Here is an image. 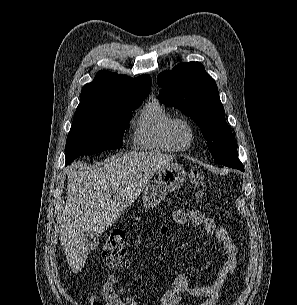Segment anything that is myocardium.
<instances>
[{
    "label": "myocardium",
    "instance_id": "f54148a6",
    "mask_svg": "<svg viewBox=\"0 0 297 305\" xmlns=\"http://www.w3.org/2000/svg\"><path fill=\"white\" fill-rule=\"evenodd\" d=\"M180 125L184 126L188 132L187 138L184 141L179 138L177 133V129ZM168 132L173 144L178 150L189 149L195 139L194 125L190 120L184 117H175L169 124Z\"/></svg>",
    "mask_w": 297,
    "mask_h": 305
}]
</instances>
